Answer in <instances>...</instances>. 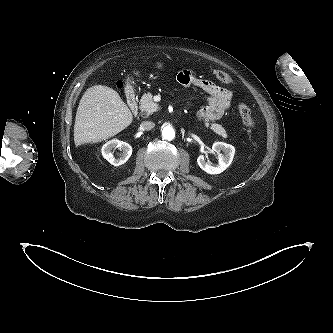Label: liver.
<instances>
[{"instance_id":"1","label":"liver","mask_w":333,"mask_h":333,"mask_svg":"<svg viewBox=\"0 0 333 333\" xmlns=\"http://www.w3.org/2000/svg\"><path fill=\"white\" fill-rule=\"evenodd\" d=\"M133 115L118 92L104 85H94L83 94L76 113V146L96 143L115 136L127 128Z\"/></svg>"}]
</instances>
